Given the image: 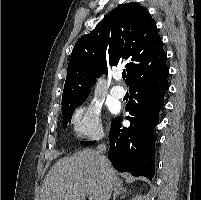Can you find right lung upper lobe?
I'll return each mask as SVG.
<instances>
[{
	"label": "right lung upper lobe",
	"mask_w": 201,
	"mask_h": 200,
	"mask_svg": "<svg viewBox=\"0 0 201 200\" xmlns=\"http://www.w3.org/2000/svg\"><path fill=\"white\" fill-rule=\"evenodd\" d=\"M166 53L154 20L141 5L119 6L81 37L71 53L62 101L86 97L95 78L109 67L124 64L126 83L153 75L166 67Z\"/></svg>",
	"instance_id": "obj_1"
}]
</instances>
